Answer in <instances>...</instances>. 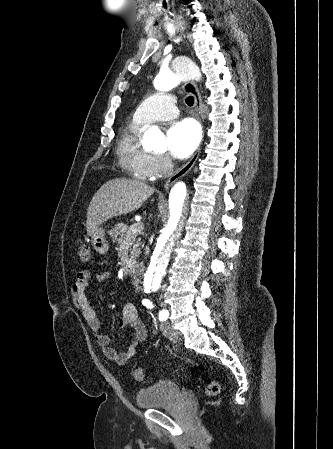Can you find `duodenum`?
<instances>
[{
	"instance_id": "1",
	"label": "duodenum",
	"mask_w": 333,
	"mask_h": 449,
	"mask_svg": "<svg viewBox=\"0 0 333 449\" xmlns=\"http://www.w3.org/2000/svg\"><path fill=\"white\" fill-rule=\"evenodd\" d=\"M130 276H131V280H132V284L136 287H138L141 283V278H142V269L140 266H133L130 269Z\"/></svg>"
}]
</instances>
